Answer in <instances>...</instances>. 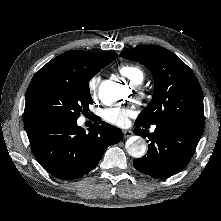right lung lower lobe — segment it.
<instances>
[{
    "mask_svg": "<svg viewBox=\"0 0 221 221\" xmlns=\"http://www.w3.org/2000/svg\"><path fill=\"white\" fill-rule=\"evenodd\" d=\"M34 156L51 175L72 180L92 170L105 150L123 138L119 128L103 121L88 132L75 121L24 123Z\"/></svg>",
    "mask_w": 221,
    "mask_h": 221,
    "instance_id": "98d812e1",
    "label": "right lung lower lobe"
}]
</instances>
